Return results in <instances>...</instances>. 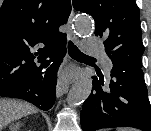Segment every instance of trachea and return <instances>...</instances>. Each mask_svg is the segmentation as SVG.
I'll return each mask as SVG.
<instances>
[{
    "instance_id": "obj_1",
    "label": "trachea",
    "mask_w": 151,
    "mask_h": 131,
    "mask_svg": "<svg viewBox=\"0 0 151 131\" xmlns=\"http://www.w3.org/2000/svg\"><path fill=\"white\" fill-rule=\"evenodd\" d=\"M68 53L71 57H77V58H92L88 55H85L82 53L72 41L68 42Z\"/></svg>"
}]
</instances>
